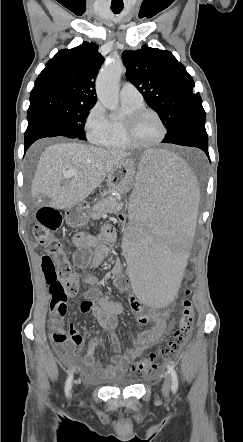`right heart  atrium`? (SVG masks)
Masks as SVG:
<instances>
[{
  "label": "right heart atrium",
  "mask_w": 243,
  "mask_h": 442,
  "mask_svg": "<svg viewBox=\"0 0 243 442\" xmlns=\"http://www.w3.org/2000/svg\"><path fill=\"white\" fill-rule=\"evenodd\" d=\"M107 127V117L100 103H95L88 111L84 130L87 138L90 141H95L97 137L102 135Z\"/></svg>",
  "instance_id": "right-heart-atrium-1"
}]
</instances>
